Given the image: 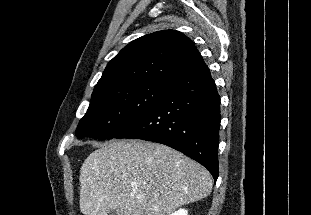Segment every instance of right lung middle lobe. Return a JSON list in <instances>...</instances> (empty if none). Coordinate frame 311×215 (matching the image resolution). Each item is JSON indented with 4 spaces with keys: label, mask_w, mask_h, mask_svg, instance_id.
<instances>
[{
    "label": "right lung middle lobe",
    "mask_w": 311,
    "mask_h": 215,
    "mask_svg": "<svg viewBox=\"0 0 311 215\" xmlns=\"http://www.w3.org/2000/svg\"><path fill=\"white\" fill-rule=\"evenodd\" d=\"M168 85L126 84L93 93L89 108L76 129L77 138H115L150 112Z\"/></svg>",
    "instance_id": "dd1d6c3e"
}]
</instances>
